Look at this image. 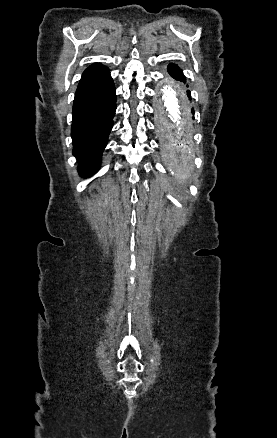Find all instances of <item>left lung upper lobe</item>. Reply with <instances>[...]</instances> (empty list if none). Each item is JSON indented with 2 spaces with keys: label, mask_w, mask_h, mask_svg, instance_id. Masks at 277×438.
I'll list each match as a JSON object with an SVG mask.
<instances>
[{
  "label": "left lung upper lobe",
  "mask_w": 277,
  "mask_h": 438,
  "mask_svg": "<svg viewBox=\"0 0 277 438\" xmlns=\"http://www.w3.org/2000/svg\"><path fill=\"white\" fill-rule=\"evenodd\" d=\"M168 72L176 80H180V81H184V82L186 81V78L183 75L182 70L179 69L177 65H175V64L168 65ZM189 94H190V92L188 91V95Z\"/></svg>",
  "instance_id": "5c2ea615"
}]
</instances>
